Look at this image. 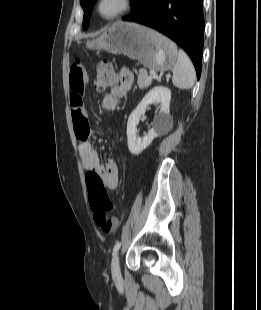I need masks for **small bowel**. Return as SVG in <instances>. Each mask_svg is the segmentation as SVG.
Masks as SVG:
<instances>
[{"label": "small bowel", "instance_id": "obj_1", "mask_svg": "<svg viewBox=\"0 0 261 310\" xmlns=\"http://www.w3.org/2000/svg\"><path fill=\"white\" fill-rule=\"evenodd\" d=\"M86 83V73L82 63L74 60L70 66L69 86L70 104L75 135L80 141L78 150L84 169L97 172L106 186L114 190L118 186V168L113 160H107L105 165L101 164L98 152L93 147L90 137L93 133L89 130L87 113L83 105V94ZM133 85V75L128 69L121 70L119 83L114 85L103 101L102 107L106 110H114L120 99L126 97Z\"/></svg>", "mask_w": 261, "mask_h": 310}]
</instances>
